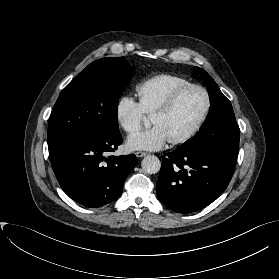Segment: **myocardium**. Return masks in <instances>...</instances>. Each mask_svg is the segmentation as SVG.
I'll list each match as a JSON object with an SVG mask.
<instances>
[{"instance_id":"f54148a6","label":"myocardium","mask_w":279,"mask_h":279,"mask_svg":"<svg viewBox=\"0 0 279 279\" xmlns=\"http://www.w3.org/2000/svg\"><path fill=\"white\" fill-rule=\"evenodd\" d=\"M189 89H198L203 93L205 98L204 108L201 115L199 116L195 124L191 127V129L188 132H186L183 136L179 138L169 140V142L173 145H180L188 142L199 132V130L203 126L204 122L207 119L211 107V99L208 90L204 86L195 83H188L182 85L176 88L175 90H173L171 94L167 97L165 102L162 104V106L152 114V117H157L169 113L170 110L173 108L174 104L176 103L177 99L179 98V96Z\"/></svg>"}]
</instances>
